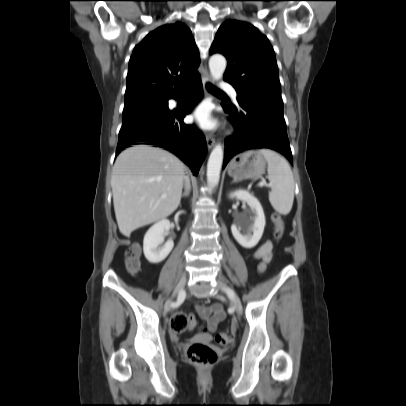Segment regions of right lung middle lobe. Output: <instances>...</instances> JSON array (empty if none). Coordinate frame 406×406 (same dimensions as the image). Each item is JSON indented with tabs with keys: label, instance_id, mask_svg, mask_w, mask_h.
<instances>
[{
	"label": "right lung middle lobe",
	"instance_id": "1",
	"mask_svg": "<svg viewBox=\"0 0 406 406\" xmlns=\"http://www.w3.org/2000/svg\"><path fill=\"white\" fill-rule=\"evenodd\" d=\"M170 112L168 99L143 100L125 106L119 134L157 124Z\"/></svg>",
	"mask_w": 406,
	"mask_h": 406
}]
</instances>
